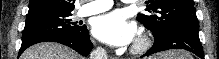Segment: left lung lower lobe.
<instances>
[{"instance_id":"left-lung-lower-lobe-1","label":"left lung lower lobe","mask_w":219,"mask_h":59,"mask_svg":"<svg viewBox=\"0 0 219 59\" xmlns=\"http://www.w3.org/2000/svg\"><path fill=\"white\" fill-rule=\"evenodd\" d=\"M198 32V20L184 21L173 27L167 34L154 37V45L141 57L169 49H184L204 59Z\"/></svg>"}]
</instances>
